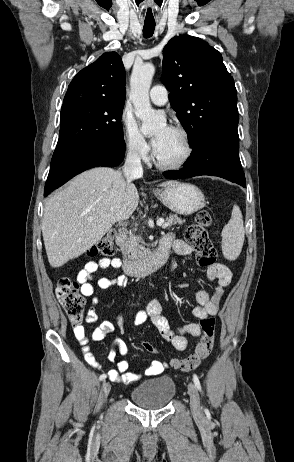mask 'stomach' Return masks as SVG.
<instances>
[{
    "instance_id": "0dacf381",
    "label": "stomach",
    "mask_w": 294,
    "mask_h": 462,
    "mask_svg": "<svg viewBox=\"0 0 294 462\" xmlns=\"http://www.w3.org/2000/svg\"><path fill=\"white\" fill-rule=\"evenodd\" d=\"M155 195L170 210L181 215L193 214L206 204L202 191L189 183L167 185L157 190Z\"/></svg>"
}]
</instances>
